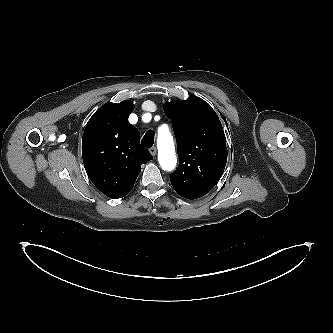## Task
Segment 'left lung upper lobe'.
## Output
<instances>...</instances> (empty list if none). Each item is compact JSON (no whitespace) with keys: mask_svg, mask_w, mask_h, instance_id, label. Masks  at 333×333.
<instances>
[{"mask_svg":"<svg viewBox=\"0 0 333 333\" xmlns=\"http://www.w3.org/2000/svg\"><path fill=\"white\" fill-rule=\"evenodd\" d=\"M163 108L173 120L180 158L170 175L171 184L183 198L204 196L217 184L226 165L222 124L212 107L196 96L165 103Z\"/></svg>","mask_w":333,"mask_h":333,"instance_id":"left-lung-upper-lobe-1","label":"left lung upper lobe"}]
</instances>
